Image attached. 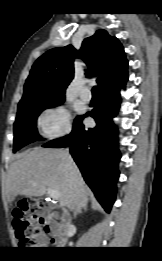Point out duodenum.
<instances>
[{"mask_svg":"<svg viewBox=\"0 0 162 261\" xmlns=\"http://www.w3.org/2000/svg\"><path fill=\"white\" fill-rule=\"evenodd\" d=\"M44 231L52 236V243L58 247H63L70 235L71 228L65 227L50 218H46L43 226Z\"/></svg>","mask_w":162,"mask_h":261,"instance_id":"obj_1","label":"duodenum"}]
</instances>
